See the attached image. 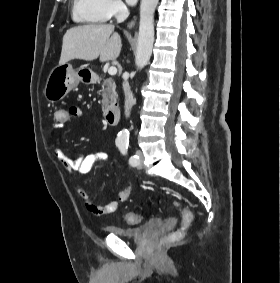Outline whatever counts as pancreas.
Returning <instances> with one entry per match:
<instances>
[{
	"label": "pancreas",
	"instance_id": "cf45deb5",
	"mask_svg": "<svg viewBox=\"0 0 280 283\" xmlns=\"http://www.w3.org/2000/svg\"><path fill=\"white\" fill-rule=\"evenodd\" d=\"M102 110H106L116 103L117 92L116 85L112 78L105 79L102 84Z\"/></svg>",
	"mask_w": 280,
	"mask_h": 283
}]
</instances>
